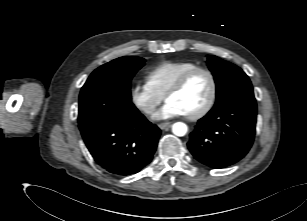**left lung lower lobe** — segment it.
I'll list each match as a JSON object with an SVG mask.
<instances>
[{
	"mask_svg": "<svg viewBox=\"0 0 307 221\" xmlns=\"http://www.w3.org/2000/svg\"><path fill=\"white\" fill-rule=\"evenodd\" d=\"M256 116L254 97L236 98L213 108L198 121L188 148L197 161L210 168L233 165L253 144Z\"/></svg>",
	"mask_w": 307,
	"mask_h": 221,
	"instance_id": "1",
	"label": "left lung lower lobe"
}]
</instances>
